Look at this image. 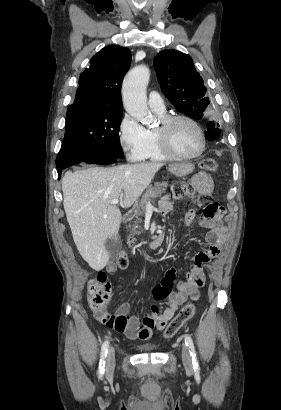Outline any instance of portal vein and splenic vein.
<instances>
[{"instance_id": "obj_1", "label": "portal vein and splenic vein", "mask_w": 281, "mask_h": 410, "mask_svg": "<svg viewBox=\"0 0 281 410\" xmlns=\"http://www.w3.org/2000/svg\"><path fill=\"white\" fill-rule=\"evenodd\" d=\"M118 202H119V199L116 198V199H113V200L111 201V204L116 205V204H118ZM146 206H147V207H152V205H151L150 202H147V203H146Z\"/></svg>"}]
</instances>
